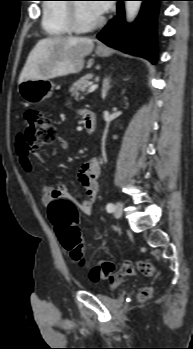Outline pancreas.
Here are the masks:
<instances>
[{"label":"pancreas","mask_w":193,"mask_h":349,"mask_svg":"<svg viewBox=\"0 0 193 349\" xmlns=\"http://www.w3.org/2000/svg\"><path fill=\"white\" fill-rule=\"evenodd\" d=\"M92 74H87L83 77H81L78 81L73 83L69 91L71 92L72 96L75 99H78L80 97V92H85L87 89V86L90 84V80L92 78ZM82 98V97H81Z\"/></svg>","instance_id":"cf45deb5"}]
</instances>
